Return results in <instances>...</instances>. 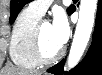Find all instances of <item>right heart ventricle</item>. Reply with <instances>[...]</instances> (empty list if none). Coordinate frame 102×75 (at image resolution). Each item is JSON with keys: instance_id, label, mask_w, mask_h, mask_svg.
Masks as SVG:
<instances>
[{"instance_id": "obj_1", "label": "right heart ventricle", "mask_w": 102, "mask_h": 75, "mask_svg": "<svg viewBox=\"0 0 102 75\" xmlns=\"http://www.w3.org/2000/svg\"><path fill=\"white\" fill-rule=\"evenodd\" d=\"M40 15L29 7L17 16L10 38L9 52L12 61L21 68L32 69L38 64L31 52V38Z\"/></svg>"}]
</instances>
